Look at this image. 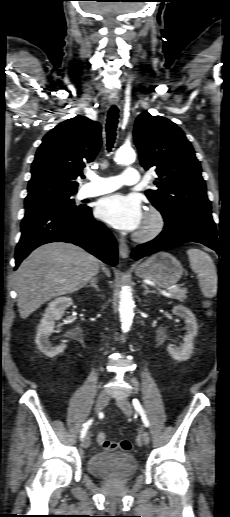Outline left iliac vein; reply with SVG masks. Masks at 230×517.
<instances>
[{
  "mask_svg": "<svg viewBox=\"0 0 230 517\" xmlns=\"http://www.w3.org/2000/svg\"><path fill=\"white\" fill-rule=\"evenodd\" d=\"M118 407L124 412V414L130 417L133 414L134 408L128 399L122 397L116 400ZM150 441V436L147 430H143L139 437V444L147 445Z\"/></svg>",
  "mask_w": 230,
  "mask_h": 517,
  "instance_id": "left-iliac-vein-1",
  "label": "left iliac vein"
}]
</instances>
